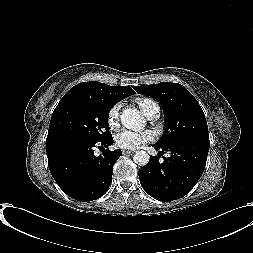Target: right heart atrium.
Wrapping results in <instances>:
<instances>
[{
  "mask_svg": "<svg viewBox=\"0 0 253 253\" xmlns=\"http://www.w3.org/2000/svg\"><path fill=\"white\" fill-rule=\"evenodd\" d=\"M121 108H122L121 103H116L110 108L108 112V124L111 128H114L118 125Z\"/></svg>",
  "mask_w": 253,
  "mask_h": 253,
  "instance_id": "1",
  "label": "right heart atrium"
}]
</instances>
